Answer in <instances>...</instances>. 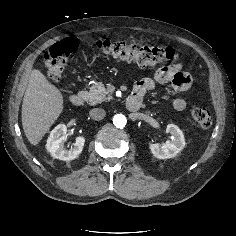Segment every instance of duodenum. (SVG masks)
<instances>
[{"instance_id": "obj_1", "label": "duodenum", "mask_w": 236, "mask_h": 236, "mask_svg": "<svg viewBox=\"0 0 236 236\" xmlns=\"http://www.w3.org/2000/svg\"><path fill=\"white\" fill-rule=\"evenodd\" d=\"M85 96L82 93H75L70 96V103L74 106H81L84 103ZM142 98L138 95L130 96L126 101V108L129 111H137L141 107Z\"/></svg>"}]
</instances>
